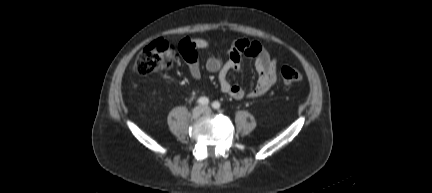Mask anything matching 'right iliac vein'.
Segmentation results:
<instances>
[{"label": "right iliac vein", "instance_id": "obj_1", "mask_svg": "<svg viewBox=\"0 0 432 193\" xmlns=\"http://www.w3.org/2000/svg\"><path fill=\"white\" fill-rule=\"evenodd\" d=\"M203 113V108L201 106H197L192 110L193 118H198Z\"/></svg>", "mask_w": 432, "mask_h": 193}]
</instances>
